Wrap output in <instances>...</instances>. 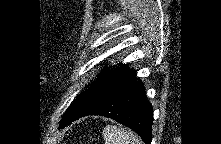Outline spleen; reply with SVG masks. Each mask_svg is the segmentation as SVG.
<instances>
[{
  "label": "spleen",
  "instance_id": "obj_1",
  "mask_svg": "<svg viewBox=\"0 0 221 144\" xmlns=\"http://www.w3.org/2000/svg\"><path fill=\"white\" fill-rule=\"evenodd\" d=\"M105 144H142L132 132L116 125H107L103 129Z\"/></svg>",
  "mask_w": 221,
  "mask_h": 144
}]
</instances>
